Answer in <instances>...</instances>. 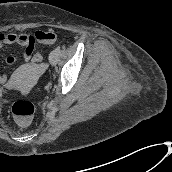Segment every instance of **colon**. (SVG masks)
<instances>
[{"label": "colon", "mask_w": 172, "mask_h": 172, "mask_svg": "<svg viewBox=\"0 0 172 172\" xmlns=\"http://www.w3.org/2000/svg\"><path fill=\"white\" fill-rule=\"evenodd\" d=\"M57 35L52 30L46 31L41 41L44 43H52L56 40ZM38 61L41 62L42 56L37 57ZM35 112V107L32 102L28 100H19L14 103L12 107V113L17 120V122L22 126H27L33 117Z\"/></svg>", "instance_id": "obj_1"}]
</instances>
